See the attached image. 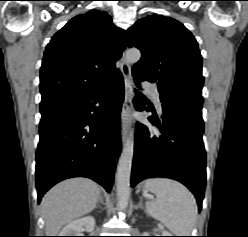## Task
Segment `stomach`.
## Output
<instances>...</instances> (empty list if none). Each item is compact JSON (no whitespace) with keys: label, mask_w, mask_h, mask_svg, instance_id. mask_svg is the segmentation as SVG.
<instances>
[{"label":"stomach","mask_w":248,"mask_h":237,"mask_svg":"<svg viewBox=\"0 0 248 237\" xmlns=\"http://www.w3.org/2000/svg\"><path fill=\"white\" fill-rule=\"evenodd\" d=\"M143 192H144V194H145L146 196H149L148 193H147L148 190H147L145 187H143Z\"/></svg>","instance_id":"stomach-1"}]
</instances>
